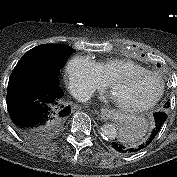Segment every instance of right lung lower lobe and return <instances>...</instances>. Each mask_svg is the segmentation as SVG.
<instances>
[{"mask_svg":"<svg viewBox=\"0 0 177 177\" xmlns=\"http://www.w3.org/2000/svg\"><path fill=\"white\" fill-rule=\"evenodd\" d=\"M58 78L49 71L26 65L13 71L7 89V108L14 125L40 139L59 131L70 114Z\"/></svg>","mask_w":177,"mask_h":177,"instance_id":"obj_1","label":"right lung lower lobe"}]
</instances>
